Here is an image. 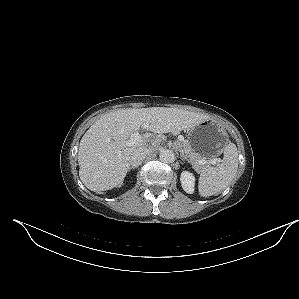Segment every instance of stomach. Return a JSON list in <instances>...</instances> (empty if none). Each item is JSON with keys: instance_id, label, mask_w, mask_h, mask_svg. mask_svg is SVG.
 <instances>
[{"instance_id": "obj_1", "label": "stomach", "mask_w": 299, "mask_h": 299, "mask_svg": "<svg viewBox=\"0 0 299 299\" xmlns=\"http://www.w3.org/2000/svg\"><path fill=\"white\" fill-rule=\"evenodd\" d=\"M188 142L201 158L210 160L223 153L229 137L223 127L208 118L188 129Z\"/></svg>"}]
</instances>
